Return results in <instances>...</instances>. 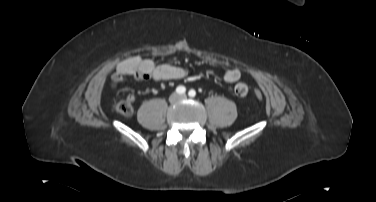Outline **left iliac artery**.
<instances>
[{
  "label": "left iliac artery",
  "instance_id": "44dca946",
  "mask_svg": "<svg viewBox=\"0 0 376 202\" xmlns=\"http://www.w3.org/2000/svg\"><path fill=\"white\" fill-rule=\"evenodd\" d=\"M188 95H189L190 97H194V96L196 95L195 90H190V91L188 92Z\"/></svg>",
  "mask_w": 376,
  "mask_h": 202
}]
</instances>
